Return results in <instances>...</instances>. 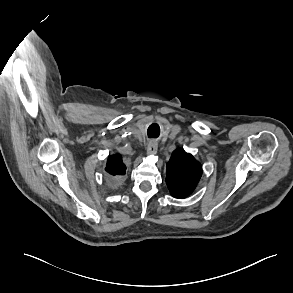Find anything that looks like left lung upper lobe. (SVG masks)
Here are the masks:
<instances>
[{"instance_id":"obj_1","label":"left lung upper lobe","mask_w":293,"mask_h":293,"mask_svg":"<svg viewBox=\"0 0 293 293\" xmlns=\"http://www.w3.org/2000/svg\"><path fill=\"white\" fill-rule=\"evenodd\" d=\"M202 175L199 162L182 148L173 152L167 163L166 183L171 195L175 198H185L190 195Z\"/></svg>"}]
</instances>
